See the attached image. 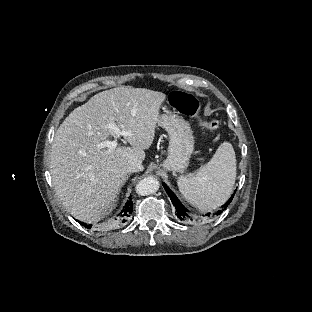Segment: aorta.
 I'll return each instance as SVG.
<instances>
[{"label": "aorta", "instance_id": "obj_1", "mask_svg": "<svg viewBox=\"0 0 312 312\" xmlns=\"http://www.w3.org/2000/svg\"><path fill=\"white\" fill-rule=\"evenodd\" d=\"M136 193L141 196L154 194L159 189V181L154 177H146L136 185Z\"/></svg>", "mask_w": 312, "mask_h": 312}]
</instances>
